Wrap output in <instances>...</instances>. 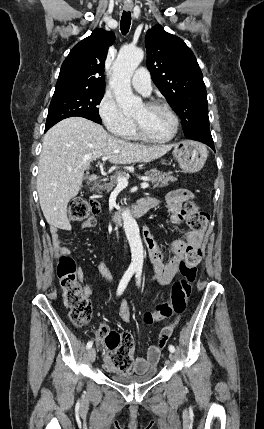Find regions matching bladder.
Returning <instances> with one entry per match:
<instances>
[{"label": "bladder", "mask_w": 264, "mask_h": 429, "mask_svg": "<svg viewBox=\"0 0 264 429\" xmlns=\"http://www.w3.org/2000/svg\"><path fill=\"white\" fill-rule=\"evenodd\" d=\"M157 374V368L152 367L147 372L142 374H132L128 376H113V381L124 384V385H131V384H140L145 383L150 380H152Z\"/></svg>", "instance_id": "31cf9c89"}]
</instances>
